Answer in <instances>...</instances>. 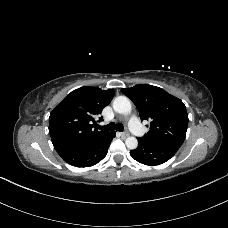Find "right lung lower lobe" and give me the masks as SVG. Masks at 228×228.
Masks as SVG:
<instances>
[{
  "mask_svg": "<svg viewBox=\"0 0 228 228\" xmlns=\"http://www.w3.org/2000/svg\"><path fill=\"white\" fill-rule=\"evenodd\" d=\"M115 132H109L100 139L81 146L58 151L62 159L75 167H89L100 162L107 154Z\"/></svg>",
  "mask_w": 228,
  "mask_h": 228,
  "instance_id": "98d812e1",
  "label": "right lung lower lobe"
}]
</instances>
